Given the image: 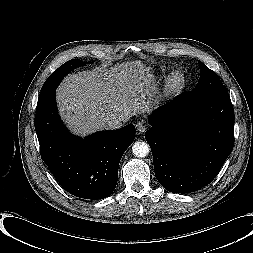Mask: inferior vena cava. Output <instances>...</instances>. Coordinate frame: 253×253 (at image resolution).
Returning a JSON list of instances; mask_svg holds the SVG:
<instances>
[{"label":"inferior vena cava","instance_id":"inferior-vena-cava-1","mask_svg":"<svg viewBox=\"0 0 253 253\" xmlns=\"http://www.w3.org/2000/svg\"><path fill=\"white\" fill-rule=\"evenodd\" d=\"M121 122H126V120L124 118H110L107 120V128L109 129H118L121 127L122 123Z\"/></svg>","mask_w":253,"mask_h":253}]
</instances>
